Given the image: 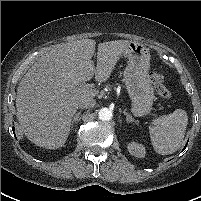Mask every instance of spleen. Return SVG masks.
<instances>
[{
  "label": "spleen",
  "mask_w": 201,
  "mask_h": 201,
  "mask_svg": "<svg viewBox=\"0 0 201 201\" xmlns=\"http://www.w3.org/2000/svg\"><path fill=\"white\" fill-rule=\"evenodd\" d=\"M187 123V113L182 109L154 120L149 127L154 150L162 155L176 152L183 143Z\"/></svg>",
  "instance_id": "3e777b00"
}]
</instances>
